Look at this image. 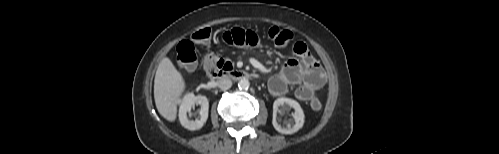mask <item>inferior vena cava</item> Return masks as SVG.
<instances>
[{
  "mask_svg": "<svg viewBox=\"0 0 499 154\" xmlns=\"http://www.w3.org/2000/svg\"><path fill=\"white\" fill-rule=\"evenodd\" d=\"M217 86L222 90H227L232 86V81L229 78H222L217 81Z\"/></svg>",
  "mask_w": 499,
  "mask_h": 154,
  "instance_id": "inferior-vena-cava-1",
  "label": "inferior vena cava"
}]
</instances>
